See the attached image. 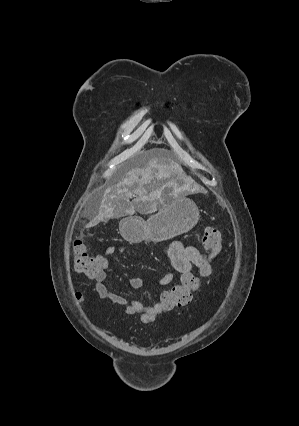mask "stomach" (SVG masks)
I'll return each mask as SVG.
<instances>
[{
    "instance_id": "obj_1",
    "label": "stomach",
    "mask_w": 299,
    "mask_h": 426,
    "mask_svg": "<svg viewBox=\"0 0 299 426\" xmlns=\"http://www.w3.org/2000/svg\"><path fill=\"white\" fill-rule=\"evenodd\" d=\"M199 218V210L191 199L177 197L147 220L137 216L124 218L120 229L128 241L157 243L188 232Z\"/></svg>"
}]
</instances>
